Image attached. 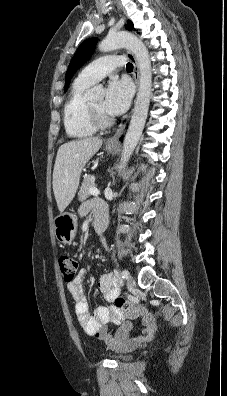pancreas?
Here are the masks:
<instances>
[{
	"instance_id": "1",
	"label": "pancreas",
	"mask_w": 227,
	"mask_h": 396,
	"mask_svg": "<svg viewBox=\"0 0 227 396\" xmlns=\"http://www.w3.org/2000/svg\"><path fill=\"white\" fill-rule=\"evenodd\" d=\"M94 181H95L94 178L90 176L84 178V182L82 183L80 192L78 194L80 201H84L89 197L90 195L89 189L96 186Z\"/></svg>"
}]
</instances>
